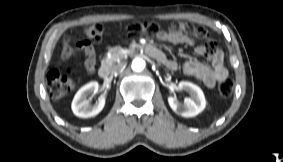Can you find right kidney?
Segmentation results:
<instances>
[{"label":"right kidney","instance_id":"1","mask_svg":"<svg viewBox=\"0 0 283 162\" xmlns=\"http://www.w3.org/2000/svg\"><path fill=\"white\" fill-rule=\"evenodd\" d=\"M99 89V84L92 81L78 90L72 101L73 113L81 118H89L99 114L105 105V97L101 96L96 104L91 105L87 97L96 93Z\"/></svg>","mask_w":283,"mask_h":162}]
</instances>
